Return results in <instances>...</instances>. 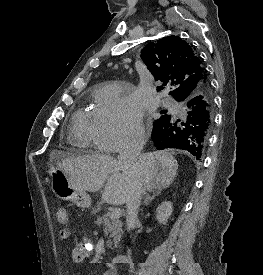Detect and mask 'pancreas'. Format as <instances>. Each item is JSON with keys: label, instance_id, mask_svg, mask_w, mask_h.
Wrapping results in <instances>:
<instances>
[{"label": "pancreas", "instance_id": "pancreas-1", "mask_svg": "<svg viewBox=\"0 0 263 275\" xmlns=\"http://www.w3.org/2000/svg\"><path fill=\"white\" fill-rule=\"evenodd\" d=\"M98 225L104 227L105 235L109 234V240L107 241V246L111 247V244H118L121 239L122 232V222L118 219L111 218L110 213H104L102 216L97 218Z\"/></svg>", "mask_w": 263, "mask_h": 275}]
</instances>
